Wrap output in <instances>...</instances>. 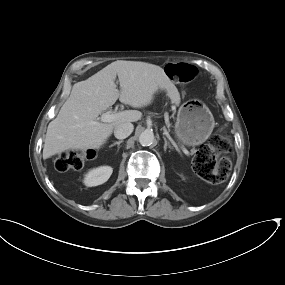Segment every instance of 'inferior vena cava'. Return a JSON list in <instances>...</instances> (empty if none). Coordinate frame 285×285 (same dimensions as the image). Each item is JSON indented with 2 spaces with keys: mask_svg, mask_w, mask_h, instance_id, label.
Wrapping results in <instances>:
<instances>
[{
  "mask_svg": "<svg viewBox=\"0 0 285 285\" xmlns=\"http://www.w3.org/2000/svg\"><path fill=\"white\" fill-rule=\"evenodd\" d=\"M134 126L130 122L118 124L114 129V136L117 139H125L133 132Z\"/></svg>",
  "mask_w": 285,
  "mask_h": 285,
  "instance_id": "obj_1",
  "label": "inferior vena cava"
}]
</instances>
